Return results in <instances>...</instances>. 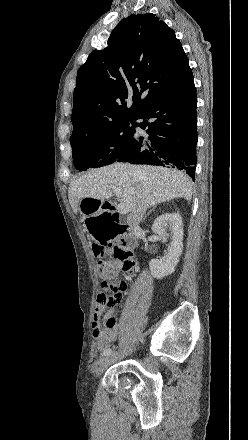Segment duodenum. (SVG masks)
<instances>
[{"label":"duodenum","mask_w":248,"mask_h":440,"mask_svg":"<svg viewBox=\"0 0 248 440\" xmlns=\"http://www.w3.org/2000/svg\"><path fill=\"white\" fill-rule=\"evenodd\" d=\"M103 206L105 209H110L113 213L111 214L113 220L112 228L116 229V234L120 236L122 243L129 249L135 248L137 245V233L131 231L121 216L114 212V204L111 201H104Z\"/></svg>","instance_id":"410a0bca"}]
</instances>
